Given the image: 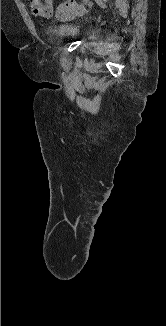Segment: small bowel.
I'll list each match as a JSON object with an SVG mask.
<instances>
[{"mask_svg":"<svg viewBox=\"0 0 166 326\" xmlns=\"http://www.w3.org/2000/svg\"><path fill=\"white\" fill-rule=\"evenodd\" d=\"M31 12L38 17L49 18L54 9L52 0H29Z\"/></svg>","mask_w":166,"mask_h":326,"instance_id":"c3829d8e","label":"small bowel"}]
</instances>
